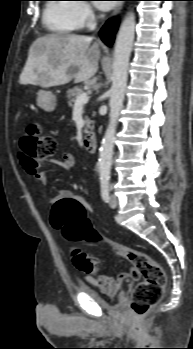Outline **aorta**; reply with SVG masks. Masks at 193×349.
Instances as JSON below:
<instances>
[{
    "label": "aorta",
    "mask_w": 193,
    "mask_h": 349,
    "mask_svg": "<svg viewBox=\"0 0 193 349\" xmlns=\"http://www.w3.org/2000/svg\"><path fill=\"white\" fill-rule=\"evenodd\" d=\"M135 25V15L130 11L124 18L116 38L112 65V86L109 91L110 118L101 142L98 163L101 182L110 179L115 134L127 85L129 59L135 36Z\"/></svg>",
    "instance_id": "obj_1"
}]
</instances>
